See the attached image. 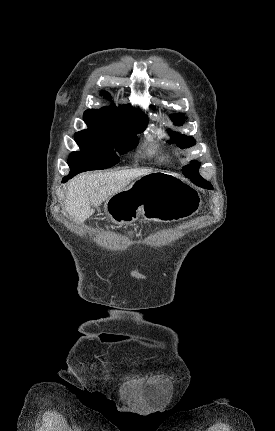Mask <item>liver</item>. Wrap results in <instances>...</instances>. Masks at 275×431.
<instances>
[{"mask_svg":"<svg viewBox=\"0 0 275 431\" xmlns=\"http://www.w3.org/2000/svg\"><path fill=\"white\" fill-rule=\"evenodd\" d=\"M150 173L148 169H131L79 175L67 186L65 210L82 223L94 213V208L125 190L134 179Z\"/></svg>","mask_w":275,"mask_h":431,"instance_id":"1","label":"liver"}]
</instances>
